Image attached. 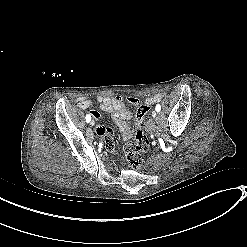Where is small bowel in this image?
I'll return each mask as SVG.
<instances>
[{
  "label": "small bowel",
  "instance_id": "1",
  "mask_svg": "<svg viewBox=\"0 0 247 247\" xmlns=\"http://www.w3.org/2000/svg\"><path fill=\"white\" fill-rule=\"evenodd\" d=\"M162 99L161 94H156L147 99V103L153 104L157 103ZM95 101L98 103L101 111L111 114L112 119L118 125L123 139L127 140L132 136V128L129 124V119L131 118V111L126 108L124 100L120 96H102L99 95L95 98ZM127 101L132 105L138 104V99L136 97H128ZM78 108L86 110L93 105V100L85 96H80L76 99ZM90 115L94 119L101 120L103 115L97 110L90 111ZM96 134L100 138H104L105 144L104 147L106 150L111 151L114 149L115 144V133L113 130H106L105 126L99 124L95 128Z\"/></svg>",
  "mask_w": 247,
  "mask_h": 247
}]
</instances>
